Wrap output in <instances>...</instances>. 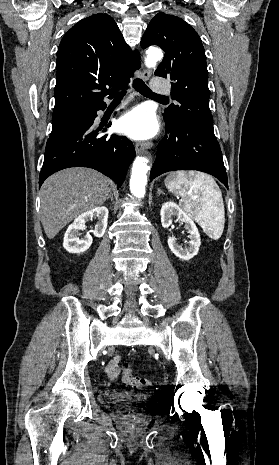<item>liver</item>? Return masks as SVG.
Masks as SVG:
<instances>
[{
	"label": "liver",
	"mask_w": 279,
	"mask_h": 465,
	"mask_svg": "<svg viewBox=\"0 0 279 465\" xmlns=\"http://www.w3.org/2000/svg\"><path fill=\"white\" fill-rule=\"evenodd\" d=\"M109 179L93 169L72 167L51 175L41 187L40 217L49 239L78 215L101 206Z\"/></svg>",
	"instance_id": "liver-1"
}]
</instances>
